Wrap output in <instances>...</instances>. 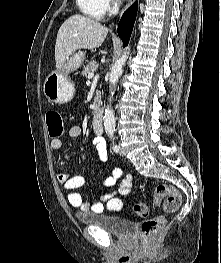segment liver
Segmentation results:
<instances>
[{
	"mask_svg": "<svg viewBox=\"0 0 221 263\" xmlns=\"http://www.w3.org/2000/svg\"><path fill=\"white\" fill-rule=\"evenodd\" d=\"M108 28L100 22L83 15H72L59 28L56 45L55 61L61 68L69 56L79 49H94L104 42Z\"/></svg>",
	"mask_w": 221,
	"mask_h": 263,
	"instance_id": "1",
	"label": "liver"
}]
</instances>
